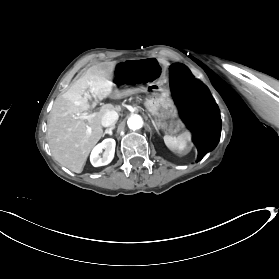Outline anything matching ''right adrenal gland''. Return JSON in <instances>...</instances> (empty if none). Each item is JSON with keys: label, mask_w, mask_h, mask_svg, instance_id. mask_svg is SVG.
I'll list each match as a JSON object with an SVG mask.
<instances>
[{"label": "right adrenal gland", "mask_w": 279, "mask_h": 279, "mask_svg": "<svg viewBox=\"0 0 279 279\" xmlns=\"http://www.w3.org/2000/svg\"><path fill=\"white\" fill-rule=\"evenodd\" d=\"M113 129H115V125H112V126H110L109 128H107L106 130H105V132L103 133V137L105 136V134H110V135H112V130Z\"/></svg>", "instance_id": "right-adrenal-gland-1"}]
</instances>
